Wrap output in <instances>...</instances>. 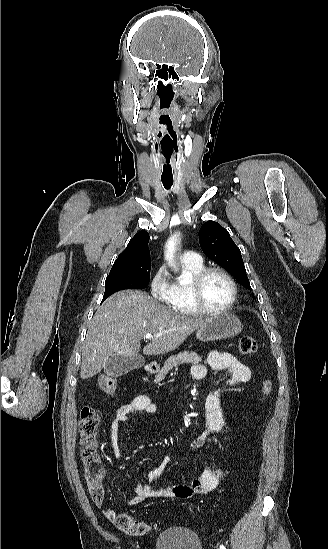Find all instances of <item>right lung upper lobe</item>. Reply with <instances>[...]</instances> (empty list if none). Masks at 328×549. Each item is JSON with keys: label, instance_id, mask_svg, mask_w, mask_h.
I'll list each match as a JSON object with an SVG mask.
<instances>
[{"label": "right lung upper lobe", "instance_id": "obj_1", "mask_svg": "<svg viewBox=\"0 0 328 549\" xmlns=\"http://www.w3.org/2000/svg\"><path fill=\"white\" fill-rule=\"evenodd\" d=\"M149 234L146 231H141L130 240L126 249L115 260L111 269L116 270L132 263L150 259L148 248Z\"/></svg>", "mask_w": 328, "mask_h": 549}]
</instances>
